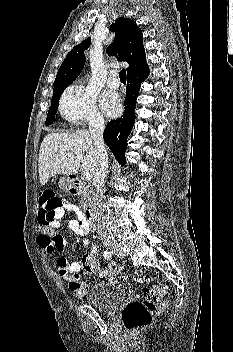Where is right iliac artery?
<instances>
[{"instance_id": "obj_1", "label": "right iliac artery", "mask_w": 233, "mask_h": 352, "mask_svg": "<svg viewBox=\"0 0 233 352\" xmlns=\"http://www.w3.org/2000/svg\"><path fill=\"white\" fill-rule=\"evenodd\" d=\"M111 257H112V253H111L110 251L106 250V251L104 252V258H105L106 260H110Z\"/></svg>"}]
</instances>
